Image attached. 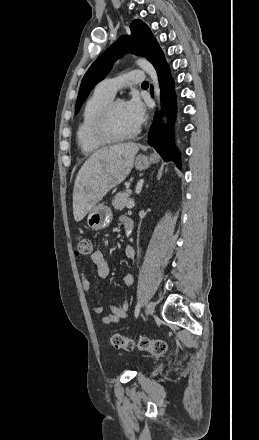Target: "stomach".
<instances>
[{"mask_svg":"<svg viewBox=\"0 0 259 440\" xmlns=\"http://www.w3.org/2000/svg\"><path fill=\"white\" fill-rule=\"evenodd\" d=\"M158 160L156 155H151L150 157L139 155L135 159V168L137 170L147 169L151 163H155ZM113 219V213L111 209L104 205H95L88 213L87 225L92 230H102L107 228Z\"/></svg>","mask_w":259,"mask_h":440,"instance_id":"0dacf381","label":"stomach"}]
</instances>
